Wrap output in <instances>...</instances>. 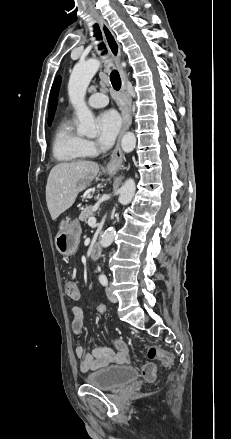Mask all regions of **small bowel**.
I'll return each instance as SVG.
<instances>
[{
    "label": "small bowel",
    "mask_w": 231,
    "mask_h": 439,
    "mask_svg": "<svg viewBox=\"0 0 231 439\" xmlns=\"http://www.w3.org/2000/svg\"><path fill=\"white\" fill-rule=\"evenodd\" d=\"M75 300L79 298H73ZM101 312L105 311L103 304L98 306ZM84 325V312L80 306H73L71 308V328L74 334L81 333ZM115 349L109 347H96L90 352H85L81 345L75 349L76 356L80 359V370L83 372L90 370H97L107 367L111 364L122 365L128 362V347L122 339L114 341Z\"/></svg>",
    "instance_id": "1"
}]
</instances>
